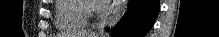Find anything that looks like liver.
Instances as JSON below:
<instances>
[{"label": "liver", "mask_w": 219, "mask_h": 37, "mask_svg": "<svg viewBox=\"0 0 219 37\" xmlns=\"http://www.w3.org/2000/svg\"><path fill=\"white\" fill-rule=\"evenodd\" d=\"M82 36L81 37H87V33H84V34H81Z\"/></svg>", "instance_id": "6515ba94"}]
</instances>
